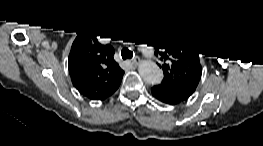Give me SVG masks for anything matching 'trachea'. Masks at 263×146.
<instances>
[{"label": "trachea", "instance_id": "obj_1", "mask_svg": "<svg viewBox=\"0 0 263 146\" xmlns=\"http://www.w3.org/2000/svg\"><path fill=\"white\" fill-rule=\"evenodd\" d=\"M121 56L122 58L125 59H131L133 57V52L130 51L129 49H123L121 51Z\"/></svg>", "mask_w": 263, "mask_h": 146}]
</instances>
